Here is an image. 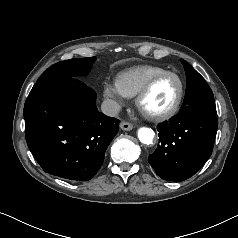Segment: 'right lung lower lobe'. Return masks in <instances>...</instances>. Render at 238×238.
<instances>
[{
	"mask_svg": "<svg viewBox=\"0 0 238 238\" xmlns=\"http://www.w3.org/2000/svg\"><path fill=\"white\" fill-rule=\"evenodd\" d=\"M24 118L28 147L42 169L77 181L96 174L120 122L100 113L95 91L72 78L36 82Z\"/></svg>",
	"mask_w": 238,
	"mask_h": 238,
	"instance_id": "1",
	"label": "right lung lower lobe"
}]
</instances>
